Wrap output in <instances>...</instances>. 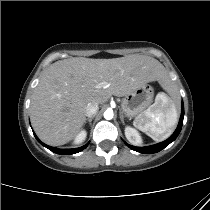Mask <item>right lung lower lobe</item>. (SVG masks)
Here are the masks:
<instances>
[{"label": "right lung lower lobe", "instance_id": "1", "mask_svg": "<svg viewBox=\"0 0 210 210\" xmlns=\"http://www.w3.org/2000/svg\"><path fill=\"white\" fill-rule=\"evenodd\" d=\"M35 135V134H34ZM37 141L39 143H41L43 146H45L46 148H48L49 150H51L52 152L54 153H57V154H75V153H78L80 151H82L83 149H85L87 147L88 144L80 147V148H75V149H58V148H55V147H51V146H48V145H45L44 143H42L38 137L35 135Z\"/></svg>", "mask_w": 210, "mask_h": 210}]
</instances>
